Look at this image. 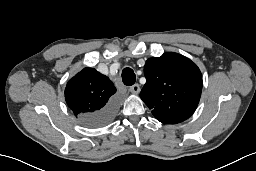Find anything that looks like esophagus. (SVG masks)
Here are the masks:
<instances>
[{"label":"esophagus","instance_id":"esophagus-1","mask_svg":"<svg viewBox=\"0 0 256 171\" xmlns=\"http://www.w3.org/2000/svg\"><path fill=\"white\" fill-rule=\"evenodd\" d=\"M129 90L133 94H138L140 92V86L138 84H134L129 88Z\"/></svg>","mask_w":256,"mask_h":171}]
</instances>
